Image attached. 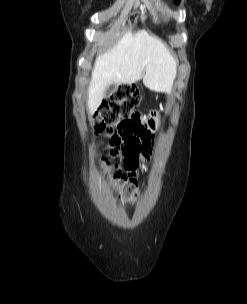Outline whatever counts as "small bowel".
Masks as SVG:
<instances>
[{
	"instance_id": "1",
	"label": "small bowel",
	"mask_w": 247,
	"mask_h": 304,
	"mask_svg": "<svg viewBox=\"0 0 247 304\" xmlns=\"http://www.w3.org/2000/svg\"><path fill=\"white\" fill-rule=\"evenodd\" d=\"M159 114L155 112H127V119H157ZM117 130H110L107 145V156L112 162L125 167L127 174L133 179L141 159H149L153 146L157 145L154 139L158 131L157 120H124L116 122Z\"/></svg>"
}]
</instances>
